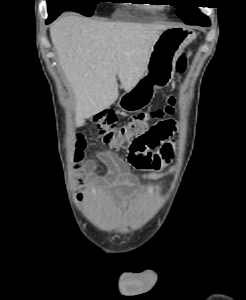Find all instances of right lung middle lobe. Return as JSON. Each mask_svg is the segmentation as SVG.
<instances>
[{
	"label": "right lung middle lobe",
	"mask_w": 246,
	"mask_h": 300,
	"mask_svg": "<svg viewBox=\"0 0 246 300\" xmlns=\"http://www.w3.org/2000/svg\"><path fill=\"white\" fill-rule=\"evenodd\" d=\"M108 0H47L49 16L59 15L64 11L79 12L91 16L96 3Z\"/></svg>",
	"instance_id": "obj_1"
}]
</instances>
